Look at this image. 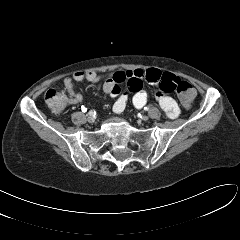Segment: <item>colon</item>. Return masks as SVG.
Returning a JSON list of instances; mask_svg holds the SVG:
<instances>
[{"label":"colon","instance_id":"5ec220e1","mask_svg":"<svg viewBox=\"0 0 240 240\" xmlns=\"http://www.w3.org/2000/svg\"><path fill=\"white\" fill-rule=\"evenodd\" d=\"M175 91L185 107L191 106L196 96L194 87L186 82L179 81L175 86ZM68 97L64 91L50 89L45 94V102L49 110L54 113H60L66 106Z\"/></svg>","mask_w":240,"mask_h":240}]
</instances>
